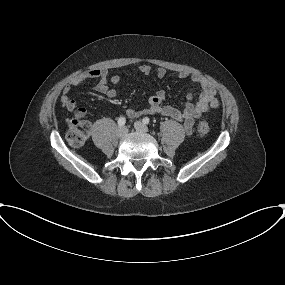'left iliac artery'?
<instances>
[{
  "instance_id": "obj_1",
  "label": "left iliac artery",
  "mask_w": 285,
  "mask_h": 285,
  "mask_svg": "<svg viewBox=\"0 0 285 285\" xmlns=\"http://www.w3.org/2000/svg\"><path fill=\"white\" fill-rule=\"evenodd\" d=\"M142 122H143L144 124H149L150 119H149L148 117H144L143 120H142Z\"/></svg>"
}]
</instances>
